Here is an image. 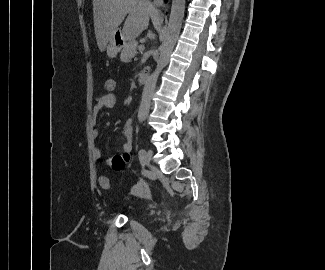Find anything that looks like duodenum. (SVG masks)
I'll use <instances>...</instances> for the list:
<instances>
[{
  "instance_id": "obj_1",
  "label": "duodenum",
  "mask_w": 325,
  "mask_h": 270,
  "mask_svg": "<svg viewBox=\"0 0 325 270\" xmlns=\"http://www.w3.org/2000/svg\"><path fill=\"white\" fill-rule=\"evenodd\" d=\"M139 83L141 85H146L148 83V76L145 74H141L139 77Z\"/></svg>"
}]
</instances>
